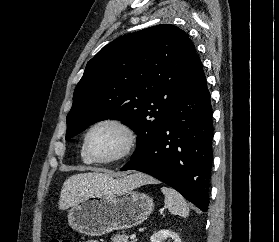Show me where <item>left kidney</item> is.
Segmentation results:
<instances>
[{
	"instance_id": "obj_1",
	"label": "left kidney",
	"mask_w": 279,
	"mask_h": 242,
	"mask_svg": "<svg viewBox=\"0 0 279 242\" xmlns=\"http://www.w3.org/2000/svg\"><path fill=\"white\" fill-rule=\"evenodd\" d=\"M171 238L173 242H181L179 235L173 231L162 229L154 233L150 240L151 242H162L164 239Z\"/></svg>"
}]
</instances>
